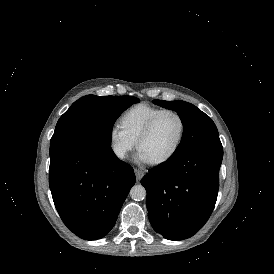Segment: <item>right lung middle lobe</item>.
Returning <instances> with one entry per match:
<instances>
[{
    "label": "right lung middle lobe",
    "mask_w": 274,
    "mask_h": 274,
    "mask_svg": "<svg viewBox=\"0 0 274 274\" xmlns=\"http://www.w3.org/2000/svg\"><path fill=\"white\" fill-rule=\"evenodd\" d=\"M140 100L133 96L86 95L60 117L50 141V158L89 142L111 144V129L117 117Z\"/></svg>",
    "instance_id": "obj_1"
}]
</instances>
